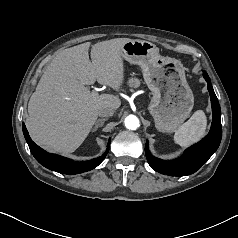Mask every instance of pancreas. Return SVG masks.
I'll list each match as a JSON object with an SVG mask.
<instances>
[{
	"label": "pancreas",
	"instance_id": "pancreas-1",
	"mask_svg": "<svg viewBox=\"0 0 238 238\" xmlns=\"http://www.w3.org/2000/svg\"><path fill=\"white\" fill-rule=\"evenodd\" d=\"M127 84H128L130 87L138 88V87L140 86V81H139V79H137V78H129Z\"/></svg>",
	"mask_w": 238,
	"mask_h": 238
}]
</instances>
